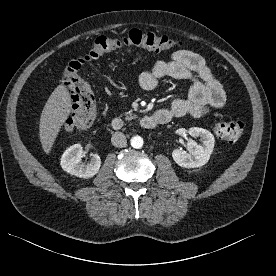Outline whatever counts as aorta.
<instances>
[{
    "instance_id": "obj_1",
    "label": "aorta",
    "mask_w": 276,
    "mask_h": 276,
    "mask_svg": "<svg viewBox=\"0 0 276 276\" xmlns=\"http://www.w3.org/2000/svg\"><path fill=\"white\" fill-rule=\"evenodd\" d=\"M131 146L135 149H140L142 148L144 141L143 138L140 136H134L131 138Z\"/></svg>"
}]
</instances>
